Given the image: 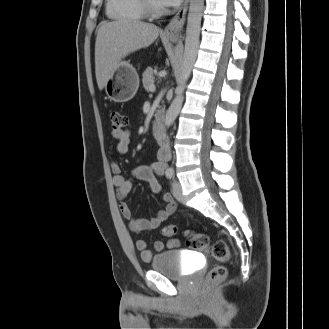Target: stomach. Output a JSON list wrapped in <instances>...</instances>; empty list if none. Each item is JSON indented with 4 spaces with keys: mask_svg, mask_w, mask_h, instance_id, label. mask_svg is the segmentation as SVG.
Listing matches in <instances>:
<instances>
[{
    "mask_svg": "<svg viewBox=\"0 0 329 329\" xmlns=\"http://www.w3.org/2000/svg\"><path fill=\"white\" fill-rule=\"evenodd\" d=\"M174 41V38H169ZM139 87V76L135 68L127 61H120L105 84L108 98L117 103L131 100Z\"/></svg>",
    "mask_w": 329,
    "mask_h": 329,
    "instance_id": "obj_1",
    "label": "stomach"
}]
</instances>
